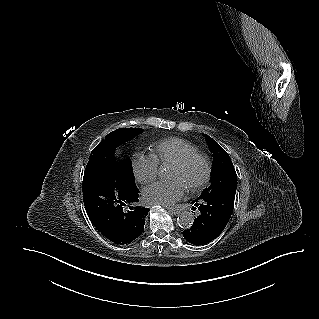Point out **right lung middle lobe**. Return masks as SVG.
<instances>
[{
    "instance_id": "obj_1",
    "label": "right lung middle lobe",
    "mask_w": 319,
    "mask_h": 319,
    "mask_svg": "<svg viewBox=\"0 0 319 319\" xmlns=\"http://www.w3.org/2000/svg\"><path fill=\"white\" fill-rule=\"evenodd\" d=\"M141 128H120L109 133L91 152L90 161L113 159L114 150L122 143L129 141L142 132ZM127 176L134 183L131 160H123Z\"/></svg>"
}]
</instances>
